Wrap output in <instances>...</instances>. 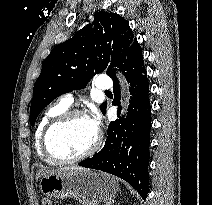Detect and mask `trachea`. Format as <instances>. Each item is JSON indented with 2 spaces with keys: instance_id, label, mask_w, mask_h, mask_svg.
Segmentation results:
<instances>
[{
  "instance_id": "obj_1",
  "label": "trachea",
  "mask_w": 212,
  "mask_h": 205,
  "mask_svg": "<svg viewBox=\"0 0 212 205\" xmlns=\"http://www.w3.org/2000/svg\"><path fill=\"white\" fill-rule=\"evenodd\" d=\"M105 93H111L110 91H105Z\"/></svg>"
}]
</instances>
